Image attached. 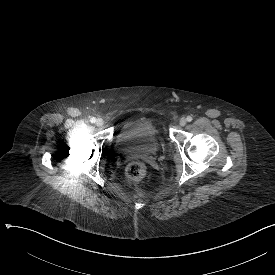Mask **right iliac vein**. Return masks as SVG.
I'll use <instances>...</instances> for the list:
<instances>
[{
  "mask_svg": "<svg viewBox=\"0 0 275 275\" xmlns=\"http://www.w3.org/2000/svg\"><path fill=\"white\" fill-rule=\"evenodd\" d=\"M104 124V121L102 119H98L96 121V125L99 127V126H102Z\"/></svg>",
  "mask_w": 275,
  "mask_h": 275,
  "instance_id": "right-iliac-vein-1",
  "label": "right iliac vein"
}]
</instances>
